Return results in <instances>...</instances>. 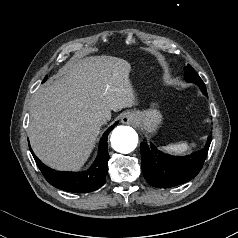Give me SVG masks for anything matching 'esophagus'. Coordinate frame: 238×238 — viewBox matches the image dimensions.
<instances>
[{
    "label": "esophagus",
    "mask_w": 238,
    "mask_h": 238,
    "mask_svg": "<svg viewBox=\"0 0 238 238\" xmlns=\"http://www.w3.org/2000/svg\"><path fill=\"white\" fill-rule=\"evenodd\" d=\"M121 122L123 124H127V125H132L136 122L135 117L132 114H125L122 118H121Z\"/></svg>",
    "instance_id": "1"
}]
</instances>
